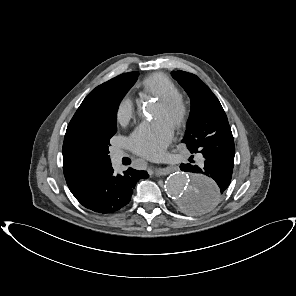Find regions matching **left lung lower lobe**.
Segmentation results:
<instances>
[{
  "label": "left lung lower lobe",
  "instance_id": "left-lung-lower-lobe-1",
  "mask_svg": "<svg viewBox=\"0 0 296 296\" xmlns=\"http://www.w3.org/2000/svg\"><path fill=\"white\" fill-rule=\"evenodd\" d=\"M204 165L181 164L183 171L194 173V176H205L217 184L214 193L201 199H193L188 211L201 212L214 205L228 188L234 167L235 145L230 126L218 130L209 137L206 149L202 151ZM202 200V201H201Z\"/></svg>",
  "mask_w": 296,
  "mask_h": 296
}]
</instances>
